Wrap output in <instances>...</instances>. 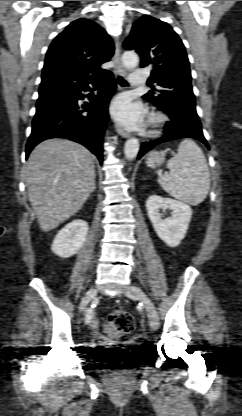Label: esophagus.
<instances>
[{"mask_svg":"<svg viewBox=\"0 0 242 416\" xmlns=\"http://www.w3.org/2000/svg\"><path fill=\"white\" fill-rule=\"evenodd\" d=\"M114 63H115V72L117 75H126V70L124 69L122 62H121V48L120 43L118 40L115 41V54L113 57ZM116 131L119 135H121L124 138H128L130 134L128 132H125L121 127L117 126Z\"/></svg>","mask_w":242,"mask_h":416,"instance_id":"obj_1","label":"esophagus"}]
</instances>
